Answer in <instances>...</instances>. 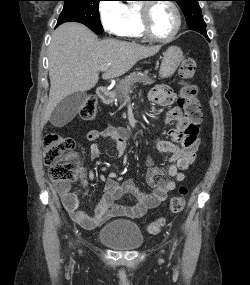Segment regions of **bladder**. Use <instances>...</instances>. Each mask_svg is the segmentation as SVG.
<instances>
[{
    "instance_id": "1",
    "label": "bladder",
    "mask_w": 250,
    "mask_h": 285,
    "mask_svg": "<svg viewBox=\"0 0 250 285\" xmlns=\"http://www.w3.org/2000/svg\"><path fill=\"white\" fill-rule=\"evenodd\" d=\"M98 240L112 249L130 251L139 248L144 238L135 222L116 219L101 227L98 231Z\"/></svg>"
}]
</instances>
